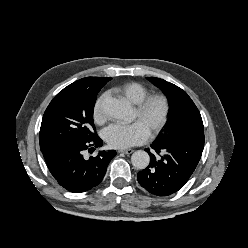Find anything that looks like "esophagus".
Here are the masks:
<instances>
[{"label": "esophagus", "mask_w": 248, "mask_h": 248, "mask_svg": "<svg viewBox=\"0 0 248 248\" xmlns=\"http://www.w3.org/2000/svg\"><path fill=\"white\" fill-rule=\"evenodd\" d=\"M119 153H123L126 155L132 154L133 153V149H121L118 151Z\"/></svg>", "instance_id": "obj_1"}]
</instances>
